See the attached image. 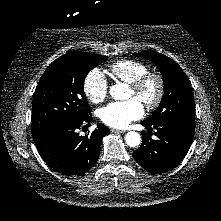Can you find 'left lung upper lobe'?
<instances>
[{
	"mask_svg": "<svg viewBox=\"0 0 221 221\" xmlns=\"http://www.w3.org/2000/svg\"><path fill=\"white\" fill-rule=\"evenodd\" d=\"M135 56L146 57L158 67L163 77L164 95L155 110L144 121H173L195 127V104L190 81L177 62L155 51H142Z\"/></svg>",
	"mask_w": 221,
	"mask_h": 221,
	"instance_id": "obj_1",
	"label": "left lung upper lobe"
}]
</instances>
